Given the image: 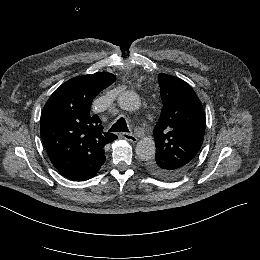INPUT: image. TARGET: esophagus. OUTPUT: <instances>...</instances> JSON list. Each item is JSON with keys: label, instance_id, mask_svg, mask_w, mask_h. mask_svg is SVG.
<instances>
[{"label": "esophagus", "instance_id": "esophagus-1", "mask_svg": "<svg viewBox=\"0 0 260 260\" xmlns=\"http://www.w3.org/2000/svg\"><path fill=\"white\" fill-rule=\"evenodd\" d=\"M121 136H122L124 139H126V140H128V141H130V142H133V143H135V142L138 141L137 137L134 136V135L131 134V133H125V132H124V133L121 134Z\"/></svg>", "mask_w": 260, "mask_h": 260}]
</instances>
